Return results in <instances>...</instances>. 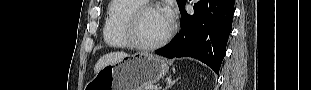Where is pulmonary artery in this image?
Instances as JSON below:
<instances>
[{
	"instance_id": "obj_1",
	"label": "pulmonary artery",
	"mask_w": 311,
	"mask_h": 90,
	"mask_svg": "<svg viewBox=\"0 0 311 90\" xmlns=\"http://www.w3.org/2000/svg\"><path fill=\"white\" fill-rule=\"evenodd\" d=\"M141 2H143V3H147L148 2V0H140Z\"/></svg>"
}]
</instances>
